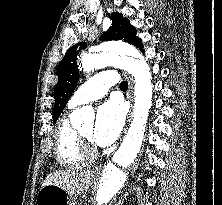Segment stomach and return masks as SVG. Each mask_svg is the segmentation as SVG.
<instances>
[{
  "label": "stomach",
  "instance_id": "obj_1",
  "mask_svg": "<svg viewBox=\"0 0 222 205\" xmlns=\"http://www.w3.org/2000/svg\"><path fill=\"white\" fill-rule=\"evenodd\" d=\"M36 205H74V197L57 185H46L39 190Z\"/></svg>",
  "mask_w": 222,
  "mask_h": 205
}]
</instances>
